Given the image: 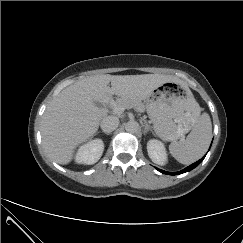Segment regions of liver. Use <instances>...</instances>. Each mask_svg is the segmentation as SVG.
<instances>
[{"label": "liver", "mask_w": 243, "mask_h": 243, "mask_svg": "<svg viewBox=\"0 0 243 243\" xmlns=\"http://www.w3.org/2000/svg\"><path fill=\"white\" fill-rule=\"evenodd\" d=\"M111 82V87L109 83ZM183 82L162 74L95 75L62 90L47 106L41 135L45 151L59 164H68L75 148L93 137L103 118L96 107L111 95L140 102L164 83Z\"/></svg>", "instance_id": "obj_1"}]
</instances>
